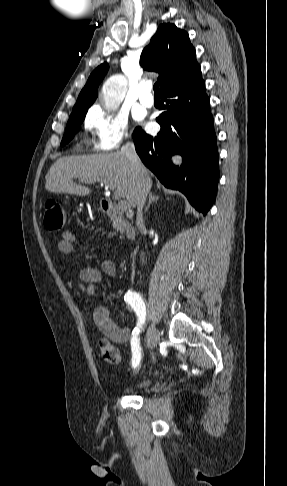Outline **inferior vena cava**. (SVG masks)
<instances>
[{"label": "inferior vena cava", "mask_w": 287, "mask_h": 486, "mask_svg": "<svg viewBox=\"0 0 287 486\" xmlns=\"http://www.w3.org/2000/svg\"><path fill=\"white\" fill-rule=\"evenodd\" d=\"M121 152L125 154L132 162L133 166L135 167L136 173L138 175V184H137V194H136V201H137V225L139 227L144 226L143 222V206L146 201V197L151 188V179L147 173L146 168L143 166L141 160L139 159L134 144L132 142H127L122 148ZM144 253H142L143 256ZM142 261L144 262V258L142 257Z\"/></svg>", "instance_id": "602c4592"}]
</instances>
